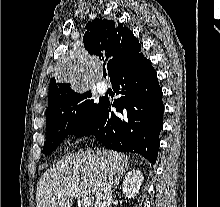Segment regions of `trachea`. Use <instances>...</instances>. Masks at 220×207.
Instances as JSON below:
<instances>
[{
    "label": "trachea",
    "mask_w": 220,
    "mask_h": 207,
    "mask_svg": "<svg viewBox=\"0 0 220 207\" xmlns=\"http://www.w3.org/2000/svg\"><path fill=\"white\" fill-rule=\"evenodd\" d=\"M103 77L106 78V73L103 74Z\"/></svg>",
    "instance_id": "1"
}]
</instances>
